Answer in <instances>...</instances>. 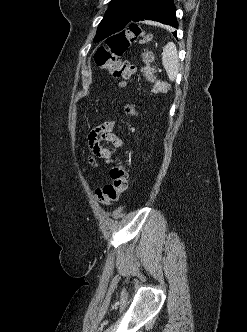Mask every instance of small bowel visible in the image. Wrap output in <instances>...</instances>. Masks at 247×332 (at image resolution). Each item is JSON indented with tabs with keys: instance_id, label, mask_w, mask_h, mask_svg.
I'll return each mask as SVG.
<instances>
[{
	"instance_id": "1",
	"label": "small bowel",
	"mask_w": 247,
	"mask_h": 332,
	"mask_svg": "<svg viewBox=\"0 0 247 332\" xmlns=\"http://www.w3.org/2000/svg\"><path fill=\"white\" fill-rule=\"evenodd\" d=\"M115 123L106 121L92 129L88 134V145L94 158L109 161L110 151L103 145V142H110L116 146H122V140L114 132Z\"/></svg>"
}]
</instances>
